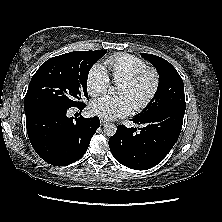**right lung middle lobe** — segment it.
Here are the masks:
<instances>
[{"label": "right lung middle lobe", "instance_id": "right-lung-middle-lobe-1", "mask_svg": "<svg viewBox=\"0 0 222 222\" xmlns=\"http://www.w3.org/2000/svg\"><path fill=\"white\" fill-rule=\"evenodd\" d=\"M107 50L75 51L52 57L33 75L24 100L25 111L43 105L79 107L88 97L87 77Z\"/></svg>", "mask_w": 222, "mask_h": 222}]
</instances>
